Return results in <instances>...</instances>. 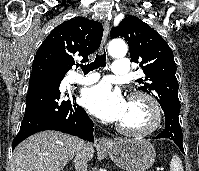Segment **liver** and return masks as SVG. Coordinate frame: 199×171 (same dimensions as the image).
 <instances>
[{
	"mask_svg": "<svg viewBox=\"0 0 199 171\" xmlns=\"http://www.w3.org/2000/svg\"><path fill=\"white\" fill-rule=\"evenodd\" d=\"M80 140L58 131L36 133L20 143L11 158L10 171H61L78 149ZM87 160L94 156L91 144H84Z\"/></svg>",
	"mask_w": 199,
	"mask_h": 171,
	"instance_id": "1",
	"label": "liver"
}]
</instances>
